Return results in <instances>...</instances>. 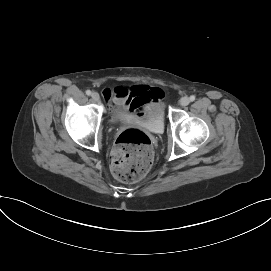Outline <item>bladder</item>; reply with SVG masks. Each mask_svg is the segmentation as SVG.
I'll return each mask as SVG.
<instances>
[{
    "instance_id": "1",
    "label": "bladder",
    "mask_w": 271,
    "mask_h": 271,
    "mask_svg": "<svg viewBox=\"0 0 271 271\" xmlns=\"http://www.w3.org/2000/svg\"><path fill=\"white\" fill-rule=\"evenodd\" d=\"M117 116L120 121H127L132 118L125 112H119ZM143 123L150 131L161 132L165 126L163 106L159 104L157 107H148Z\"/></svg>"
}]
</instances>
